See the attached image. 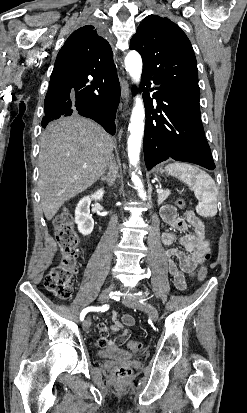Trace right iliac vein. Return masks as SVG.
I'll list each match as a JSON object with an SVG mask.
<instances>
[{"mask_svg": "<svg viewBox=\"0 0 247 413\" xmlns=\"http://www.w3.org/2000/svg\"><path fill=\"white\" fill-rule=\"evenodd\" d=\"M111 291V287L107 288L105 291H103L100 296L98 297V301L101 303L107 302L109 300V293ZM91 327V319L86 318L85 321L83 322V329L88 330Z\"/></svg>", "mask_w": 247, "mask_h": 413, "instance_id": "1", "label": "right iliac vein"}]
</instances>
